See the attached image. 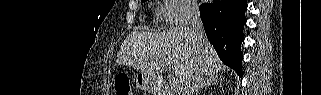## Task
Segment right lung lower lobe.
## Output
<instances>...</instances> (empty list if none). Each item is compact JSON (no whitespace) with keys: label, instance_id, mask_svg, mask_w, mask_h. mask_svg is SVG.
<instances>
[{"label":"right lung lower lobe","instance_id":"right-lung-lower-lobe-1","mask_svg":"<svg viewBox=\"0 0 321 95\" xmlns=\"http://www.w3.org/2000/svg\"><path fill=\"white\" fill-rule=\"evenodd\" d=\"M246 0H213L200 8L208 40L214 46L222 62L242 77L240 45L244 40Z\"/></svg>","mask_w":321,"mask_h":95}]
</instances>
